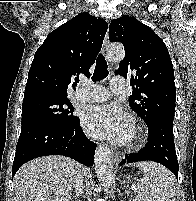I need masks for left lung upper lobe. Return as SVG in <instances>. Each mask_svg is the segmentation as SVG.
Here are the masks:
<instances>
[{
  "mask_svg": "<svg viewBox=\"0 0 196 201\" xmlns=\"http://www.w3.org/2000/svg\"><path fill=\"white\" fill-rule=\"evenodd\" d=\"M109 40L121 42L125 47V57L116 73L125 78L133 73L130 107L148 127L155 123H173L174 70L161 38L136 18L125 15L111 22Z\"/></svg>",
  "mask_w": 196,
  "mask_h": 201,
  "instance_id": "1",
  "label": "left lung upper lobe"
}]
</instances>
